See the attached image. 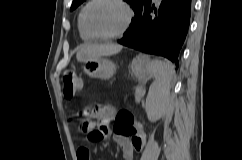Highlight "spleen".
Wrapping results in <instances>:
<instances>
[{
	"label": "spleen",
	"instance_id": "spleen-1",
	"mask_svg": "<svg viewBox=\"0 0 242 160\" xmlns=\"http://www.w3.org/2000/svg\"><path fill=\"white\" fill-rule=\"evenodd\" d=\"M148 68L154 82L151 84L146 103L157 107H166L170 93V83L174 76V67L169 62L149 60Z\"/></svg>",
	"mask_w": 242,
	"mask_h": 160
}]
</instances>
